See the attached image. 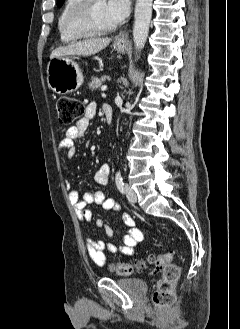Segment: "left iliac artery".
Returning <instances> with one entry per match:
<instances>
[{"label": "left iliac artery", "mask_w": 240, "mask_h": 329, "mask_svg": "<svg viewBox=\"0 0 240 329\" xmlns=\"http://www.w3.org/2000/svg\"><path fill=\"white\" fill-rule=\"evenodd\" d=\"M115 181H116V185H117V188L119 189V191L121 193H124V182H123V178H122V175H121L120 171H118L116 173Z\"/></svg>", "instance_id": "44dca946"}]
</instances>
